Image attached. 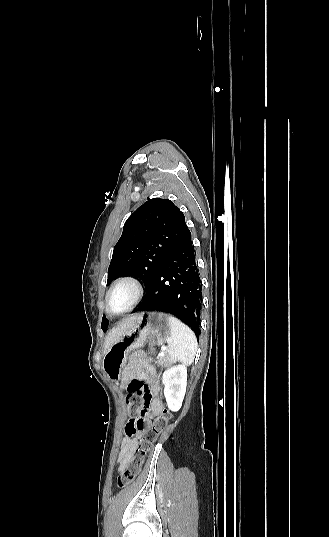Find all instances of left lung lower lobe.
Wrapping results in <instances>:
<instances>
[{"label":"left lung lower lobe","instance_id":"obj_1","mask_svg":"<svg viewBox=\"0 0 329 537\" xmlns=\"http://www.w3.org/2000/svg\"><path fill=\"white\" fill-rule=\"evenodd\" d=\"M202 283L191 233L170 253L154 275L134 312L163 311L177 316L200 335Z\"/></svg>","mask_w":329,"mask_h":537}]
</instances>
